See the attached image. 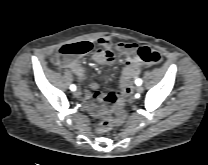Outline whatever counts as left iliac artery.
I'll return each mask as SVG.
<instances>
[{"mask_svg": "<svg viewBox=\"0 0 208 165\" xmlns=\"http://www.w3.org/2000/svg\"><path fill=\"white\" fill-rule=\"evenodd\" d=\"M135 83H136V85H141L142 84V80L141 79H137L136 81H135Z\"/></svg>", "mask_w": 208, "mask_h": 165, "instance_id": "1", "label": "left iliac artery"}]
</instances>
